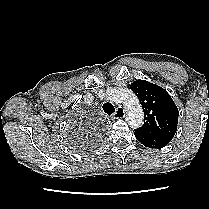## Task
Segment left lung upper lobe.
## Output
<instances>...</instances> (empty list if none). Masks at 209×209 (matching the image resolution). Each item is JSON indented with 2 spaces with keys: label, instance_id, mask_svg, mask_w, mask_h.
Returning <instances> with one entry per match:
<instances>
[{
  "label": "left lung upper lobe",
  "instance_id": "obj_1",
  "mask_svg": "<svg viewBox=\"0 0 209 209\" xmlns=\"http://www.w3.org/2000/svg\"><path fill=\"white\" fill-rule=\"evenodd\" d=\"M130 89L144 109V124L136 131L172 140L177 130L178 109L162 87L145 80H136Z\"/></svg>",
  "mask_w": 209,
  "mask_h": 209
}]
</instances>
